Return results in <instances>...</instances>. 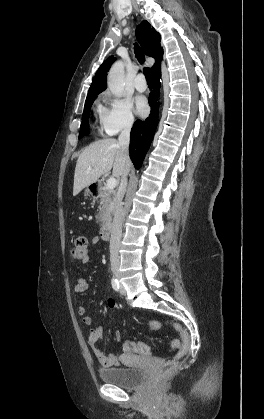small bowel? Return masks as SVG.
<instances>
[{
    "label": "small bowel",
    "mask_w": 264,
    "mask_h": 419,
    "mask_svg": "<svg viewBox=\"0 0 264 419\" xmlns=\"http://www.w3.org/2000/svg\"><path fill=\"white\" fill-rule=\"evenodd\" d=\"M99 242V238L95 237L93 239V243H98ZM88 290V283L87 281L83 278V277H79L76 281L75 287H74V291L77 294H83ZM108 306L110 308H114L116 306L115 302L113 300H109L108 301ZM77 312L78 314L82 317V322L87 325V326H92L93 324V319L91 316H89L87 314L86 308L85 306H78L77 308ZM103 337V328L100 325H95L92 326L89 330V337H88V343L90 348L92 349L93 353L95 354L98 362L103 366V367H113V366H118L120 365L122 360H125L130 354L132 353H136L142 356H150L152 354L151 348L141 342H132V341H127L123 344V351L124 354L122 356H117L115 354H105L104 351H102L98 346H97V342ZM114 339L118 342L121 339V334L119 331H116L114 334ZM142 344L146 347L147 352L146 353H142L139 352L137 349L135 348H131L130 346L132 344Z\"/></svg>",
    "instance_id": "c3829d8e"
}]
</instances>
